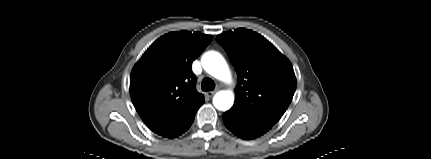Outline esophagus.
<instances>
[{"label": "esophagus", "mask_w": 431, "mask_h": 159, "mask_svg": "<svg viewBox=\"0 0 431 159\" xmlns=\"http://www.w3.org/2000/svg\"><path fill=\"white\" fill-rule=\"evenodd\" d=\"M217 90H218V89H216V90H214V91H210V92L206 93V95H207L208 97H212V96L217 92Z\"/></svg>", "instance_id": "1"}]
</instances>
